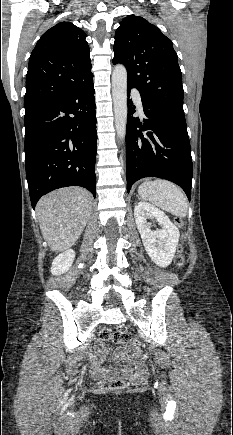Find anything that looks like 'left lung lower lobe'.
Returning <instances> with one entry per match:
<instances>
[{"instance_id":"0a47b994","label":"left lung lower lobe","mask_w":233,"mask_h":435,"mask_svg":"<svg viewBox=\"0 0 233 435\" xmlns=\"http://www.w3.org/2000/svg\"><path fill=\"white\" fill-rule=\"evenodd\" d=\"M131 88L127 84V192L141 178L158 177L179 185L190 201L193 167L183 108L141 97L146 118L140 122L132 116Z\"/></svg>"}]
</instances>
